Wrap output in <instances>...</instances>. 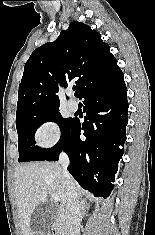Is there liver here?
Listing matches in <instances>:
<instances>
[{
  "label": "liver",
  "instance_id": "obj_1",
  "mask_svg": "<svg viewBox=\"0 0 155 235\" xmlns=\"http://www.w3.org/2000/svg\"><path fill=\"white\" fill-rule=\"evenodd\" d=\"M14 190L18 216L23 235L31 233V217L35 208L47 201L48 194L60 197L58 218L66 219L67 189L63 170L58 163L36 162L18 165L14 172ZM78 198L83 190L73 180Z\"/></svg>",
  "mask_w": 155,
  "mask_h": 235
}]
</instances>
